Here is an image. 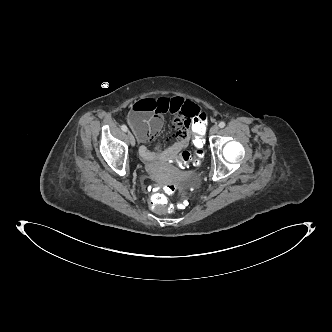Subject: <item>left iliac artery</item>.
Here are the masks:
<instances>
[{"mask_svg":"<svg viewBox=\"0 0 332 332\" xmlns=\"http://www.w3.org/2000/svg\"><path fill=\"white\" fill-rule=\"evenodd\" d=\"M219 127H220V128L225 127V122L221 121V122L219 123Z\"/></svg>","mask_w":332,"mask_h":332,"instance_id":"obj_1","label":"left iliac artery"}]
</instances>
